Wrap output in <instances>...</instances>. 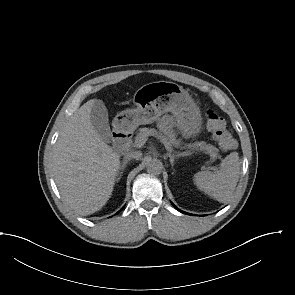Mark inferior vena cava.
I'll list each match as a JSON object with an SVG mask.
<instances>
[{
	"instance_id": "obj_1",
	"label": "inferior vena cava",
	"mask_w": 295,
	"mask_h": 295,
	"mask_svg": "<svg viewBox=\"0 0 295 295\" xmlns=\"http://www.w3.org/2000/svg\"><path fill=\"white\" fill-rule=\"evenodd\" d=\"M141 157H142L141 151H131L125 156V159H127V160H131V159L139 160Z\"/></svg>"
}]
</instances>
